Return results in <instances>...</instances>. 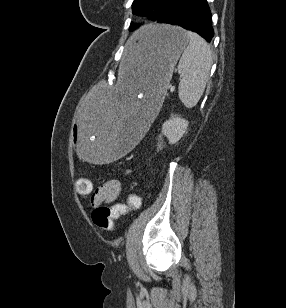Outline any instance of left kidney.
Listing matches in <instances>:
<instances>
[{"label":"left kidney","instance_id":"left-kidney-1","mask_svg":"<svg viewBox=\"0 0 286 308\" xmlns=\"http://www.w3.org/2000/svg\"><path fill=\"white\" fill-rule=\"evenodd\" d=\"M188 121L179 115H171V118L162 125V133L167 137L170 144L177 143L185 134Z\"/></svg>","mask_w":286,"mask_h":308}]
</instances>
